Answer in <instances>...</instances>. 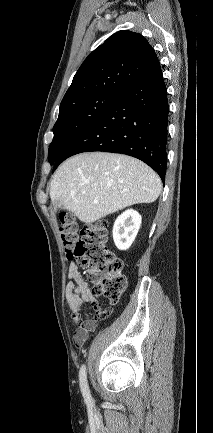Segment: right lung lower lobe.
<instances>
[{
    "mask_svg": "<svg viewBox=\"0 0 213 433\" xmlns=\"http://www.w3.org/2000/svg\"><path fill=\"white\" fill-rule=\"evenodd\" d=\"M168 113L167 89L158 62L61 152L53 170L81 152H114L142 160L164 182Z\"/></svg>",
    "mask_w": 213,
    "mask_h": 433,
    "instance_id": "obj_1",
    "label": "right lung lower lobe"
}]
</instances>
